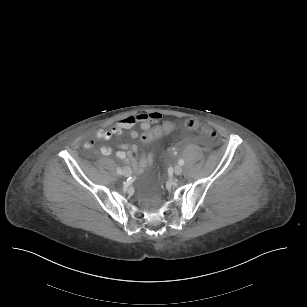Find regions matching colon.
Wrapping results in <instances>:
<instances>
[{"label": "colon", "mask_w": 307, "mask_h": 307, "mask_svg": "<svg viewBox=\"0 0 307 307\" xmlns=\"http://www.w3.org/2000/svg\"><path fill=\"white\" fill-rule=\"evenodd\" d=\"M164 124L165 125L158 127L157 130L153 129L149 132L142 133V135H141L142 140H144V141L152 140V139L158 137V135L162 136L165 133H169V132L175 130V128H176L175 123H173L172 119H170V118L165 119ZM183 126L187 131L205 132L209 139H215L216 138V133L213 130H207L204 123L197 120V119H193V118L185 119ZM161 158H162L163 161L166 160L167 153H163L161 155Z\"/></svg>", "instance_id": "5ec220e1"}]
</instances>
